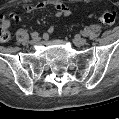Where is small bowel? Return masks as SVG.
<instances>
[{"label": "small bowel", "mask_w": 119, "mask_h": 119, "mask_svg": "<svg viewBox=\"0 0 119 119\" xmlns=\"http://www.w3.org/2000/svg\"><path fill=\"white\" fill-rule=\"evenodd\" d=\"M47 6H52L55 9V15L56 17H67L71 15V10L70 8L64 4L61 1H40L36 3H29L24 6V10L28 13L34 12L37 10H42L45 9ZM9 18L15 22H19L21 20L20 16L16 13H11L9 15ZM6 16L1 17V26L4 29H7L10 27L11 22ZM53 31V27L51 26L49 28V32Z\"/></svg>", "instance_id": "1"}]
</instances>
